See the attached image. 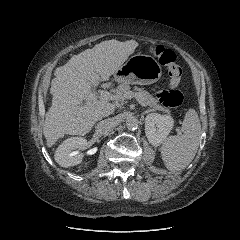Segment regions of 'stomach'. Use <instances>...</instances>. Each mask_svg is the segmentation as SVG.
<instances>
[{
	"instance_id": "1",
	"label": "stomach",
	"mask_w": 240,
	"mask_h": 240,
	"mask_svg": "<svg viewBox=\"0 0 240 240\" xmlns=\"http://www.w3.org/2000/svg\"><path fill=\"white\" fill-rule=\"evenodd\" d=\"M162 76V68L158 61L144 54L131 56L114 72V79L121 83L149 85L157 82Z\"/></svg>"
}]
</instances>
